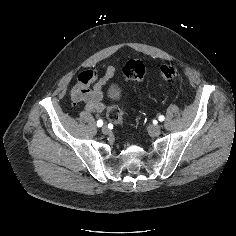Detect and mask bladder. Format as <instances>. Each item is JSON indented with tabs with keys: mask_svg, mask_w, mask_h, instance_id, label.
I'll return each mask as SVG.
<instances>
[{
	"mask_svg": "<svg viewBox=\"0 0 236 236\" xmlns=\"http://www.w3.org/2000/svg\"><path fill=\"white\" fill-rule=\"evenodd\" d=\"M121 95V92H120V89L116 86H111L109 89H108V98L110 100H115L117 98H119Z\"/></svg>",
	"mask_w": 236,
	"mask_h": 236,
	"instance_id": "1",
	"label": "bladder"
}]
</instances>
